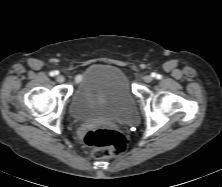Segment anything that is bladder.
Returning <instances> with one entry per match:
<instances>
[{
	"instance_id": "1",
	"label": "bladder",
	"mask_w": 222,
	"mask_h": 187,
	"mask_svg": "<svg viewBox=\"0 0 222 187\" xmlns=\"http://www.w3.org/2000/svg\"><path fill=\"white\" fill-rule=\"evenodd\" d=\"M75 121L102 118L115 124L138 122V110L125 73L112 64H96L83 74L68 105Z\"/></svg>"
}]
</instances>
